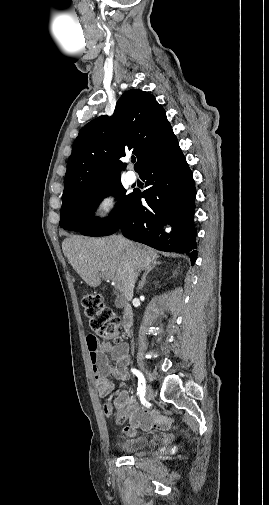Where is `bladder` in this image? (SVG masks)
Wrapping results in <instances>:
<instances>
[{
  "label": "bladder",
  "mask_w": 269,
  "mask_h": 505,
  "mask_svg": "<svg viewBox=\"0 0 269 505\" xmlns=\"http://www.w3.org/2000/svg\"><path fill=\"white\" fill-rule=\"evenodd\" d=\"M151 443L152 440L148 437H138L120 442L118 448L126 454H135L149 447Z\"/></svg>",
  "instance_id": "1"
}]
</instances>
